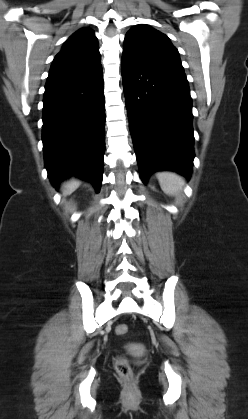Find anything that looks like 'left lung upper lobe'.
<instances>
[{"instance_id": "1", "label": "left lung upper lobe", "mask_w": 248, "mask_h": 419, "mask_svg": "<svg viewBox=\"0 0 248 419\" xmlns=\"http://www.w3.org/2000/svg\"><path fill=\"white\" fill-rule=\"evenodd\" d=\"M123 55L141 64L186 76L178 50L170 39L148 25H136L127 32Z\"/></svg>"}]
</instances>
